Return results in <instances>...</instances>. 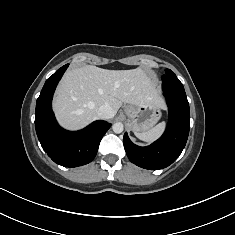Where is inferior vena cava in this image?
<instances>
[{
	"mask_svg": "<svg viewBox=\"0 0 235 235\" xmlns=\"http://www.w3.org/2000/svg\"><path fill=\"white\" fill-rule=\"evenodd\" d=\"M97 114L100 119H109L114 116V111L109 105H102L99 107Z\"/></svg>",
	"mask_w": 235,
	"mask_h": 235,
	"instance_id": "1",
	"label": "inferior vena cava"
}]
</instances>
